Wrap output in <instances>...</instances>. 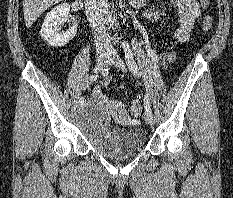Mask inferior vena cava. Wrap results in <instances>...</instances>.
<instances>
[{
	"label": "inferior vena cava",
	"instance_id": "obj_1",
	"mask_svg": "<svg viewBox=\"0 0 233 198\" xmlns=\"http://www.w3.org/2000/svg\"><path fill=\"white\" fill-rule=\"evenodd\" d=\"M85 11L94 32L97 51H109L112 46L104 26L101 0H85Z\"/></svg>",
	"mask_w": 233,
	"mask_h": 198
}]
</instances>
